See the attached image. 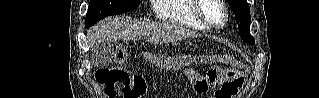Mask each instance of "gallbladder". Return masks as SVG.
Wrapping results in <instances>:
<instances>
[{
	"mask_svg": "<svg viewBox=\"0 0 319 98\" xmlns=\"http://www.w3.org/2000/svg\"><path fill=\"white\" fill-rule=\"evenodd\" d=\"M92 63L95 66L103 67L109 65L113 59V48L111 44H99L92 51Z\"/></svg>",
	"mask_w": 319,
	"mask_h": 98,
	"instance_id": "gallbladder-1",
	"label": "gallbladder"
}]
</instances>
